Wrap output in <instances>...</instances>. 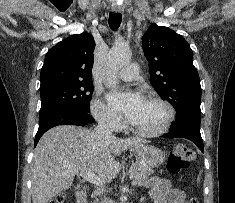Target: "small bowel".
Segmentation results:
<instances>
[{"instance_id": "c3829d8e", "label": "small bowel", "mask_w": 235, "mask_h": 203, "mask_svg": "<svg viewBox=\"0 0 235 203\" xmlns=\"http://www.w3.org/2000/svg\"><path fill=\"white\" fill-rule=\"evenodd\" d=\"M152 203H183L184 193L173 188L168 180L153 178L149 181Z\"/></svg>"}]
</instances>
